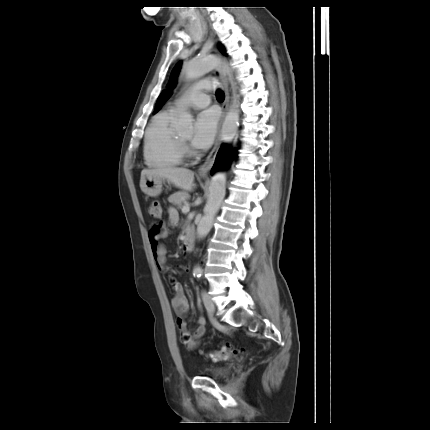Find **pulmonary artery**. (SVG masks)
Here are the masks:
<instances>
[{
  "label": "pulmonary artery",
  "mask_w": 430,
  "mask_h": 430,
  "mask_svg": "<svg viewBox=\"0 0 430 430\" xmlns=\"http://www.w3.org/2000/svg\"><path fill=\"white\" fill-rule=\"evenodd\" d=\"M213 89L212 81L203 79L193 84L186 93L174 102L171 110L176 111L182 107H192L196 109L205 108L210 103L207 92Z\"/></svg>",
  "instance_id": "1"
}]
</instances>
